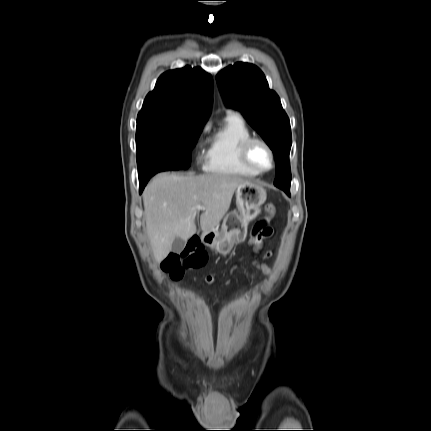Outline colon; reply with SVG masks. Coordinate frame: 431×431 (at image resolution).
Segmentation results:
<instances>
[{
  "label": "colon",
  "instance_id": "1",
  "mask_svg": "<svg viewBox=\"0 0 431 431\" xmlns=\"http://www.w3.org/2000/svg\"><path fill=\"white\" fill-rule=\"evenodd\" d=\"M267 216L258 220L251 231L249 241L254 243L257 238L263 237L270 231V222L275 214V207L272 204L265 206ZM206 253L197 241H191L181 252L170 253L163 262V268L169 272L173 278H181L185 271L199 268L206 262Z\"/></svg>",
  "mask_w": 431,
  "mask_h": 431
}]
</instances>
